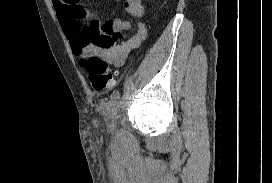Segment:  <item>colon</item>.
<instances>
[{
	"label": "colon",
	"instance_id": "1",
	"mask_svg": "<svg viewBox=\"0 0 272 183\" xmlns=\"http://www.w3.org/2000/svg\"><path fill=\"white\" fill-rule=\"evenodd\" d=\"M80 62L96 91H106L115 85L117 73L111 70L108 64L98 56L90 55Z\"/></svg>",
	"mask_w": 272,
	"mask_h": 183
}]
</instances>
